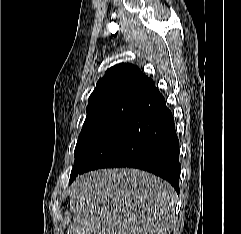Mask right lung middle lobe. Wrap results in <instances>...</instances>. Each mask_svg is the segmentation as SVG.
Here are the masks:
<instances>
[{"label": "right lung middle lobe", "instance_id": "right-lung-middle-lobe-1", "mask_svg": "<svg viewBox=\"0 0 241 234\" xmlns=\"http://www.w3.org/2000/svg\"><path fill=\"white\" fill-rule=\"evenodd\" d=\"M136 106L130 103H110L87 108V117L74 151L75 163L70 182L79 174L92 151Z\"/></svg>", "mask_w": 241, "mask_h": 234}]
</instances>
